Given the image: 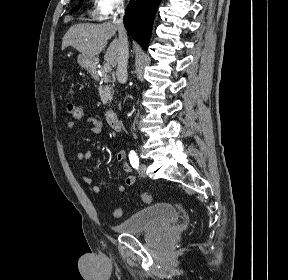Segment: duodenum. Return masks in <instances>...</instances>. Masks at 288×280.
<instances>
[{
  "label": "duodenum",
  "mask_w": 288,
  "mask_h": 280,
  "mask_svg": "<svg viewBox=\"0 0 288 280\" xmlns=\"http://www.w3.org/2000/svg\"><path fill=\"white\" fill-rule=\"evenodd\" d=\"M91 72L92 74L95 76V77H98L99 76V72L97 70L96 67H92L91 68ZM106 120H107V123L108 125L115 131H119L121 130V122L117 116V114L112 111V110H109L107 113H106Z\"/></svg>",
  "instance_id": "410a0bca"
}]
</instances>
